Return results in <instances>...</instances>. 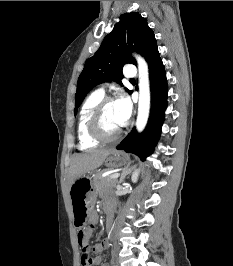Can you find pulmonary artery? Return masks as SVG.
<instances>
[{"instance_id": "pulmonary-artery-1", "label": "pulmonary artery", "mask_w": 233, "mask_h": 266, "mask_svg": "<svg viewBox=\"0 0 233 266\" xmlns=\"http://www.w3.org/2000/svg\"><path fill=\"white\" fill-rule=\"evenodd\" d=\"M124 75L128 78H133L136 76V70L132 65H128L124 71ZM101 92H104V87H101L100 89Z\"/></svg>"}]
</instances>
